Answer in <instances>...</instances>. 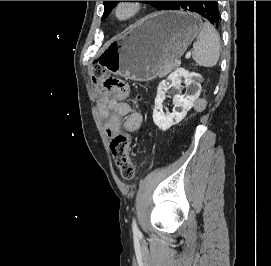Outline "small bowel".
Returning a JSON list of instances; mask_svg holds the SVG:
<instances>
[{
	"label": "small bowel",
	"mask_w": 271,
	"mask_h": 266,
	"mask_svg": "<svg viewBox=\"0 0 271 266\" xmlns=\"http://www.w3.org/2000/svg\"><path fill=\"white\" fill-rule=\"evenodd\" d=\"M98 110L105 119V132L109 137L117 134L121 128L131 133L136 132L142 125V114L134 111L123 98L110 97L104 93L98 100Z\"/></svg>",
	"instance_id": "1"
}]
</instances>
